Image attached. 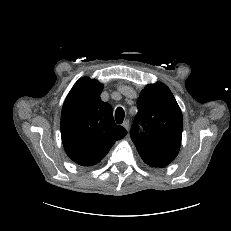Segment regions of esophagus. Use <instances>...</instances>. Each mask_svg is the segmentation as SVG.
Here are the masks:
<instances>
[{"instance_id": "esophagus-1", "label": "esophagus", "mask_w": 231, "mask_h": 231, "mask_svg": "<svg viewBox=\"0 0 231 231\" xmlns=\"http://www.w3.org/2000/svg\"><path fill=\"white\" fill-rule=\"evenodd\" d=\"M129 125H130L129 120H125V121L123 122V127H124L127 131L129 130Z\"/></svg>"}]
</instances>
